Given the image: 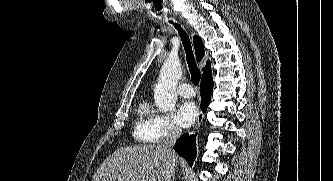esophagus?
<instances>
[{
  "mask_svg": "<svg viewBox=\"0 0 333 181\" xmlns=\"http://www.w3.org/2000/svg\"><path fill=\"white\" fill-rule=\"evenodd\" d=\"M203 117H204V114L202 111H200L191 132H193L195 129H197L200 126V124L202 123Z\"/></svg>",
  "mask_w": 333,
  "mask_h": 181,
  "instance_id": "34e87169",
  "label": "esophagus"
}]
</instances>
